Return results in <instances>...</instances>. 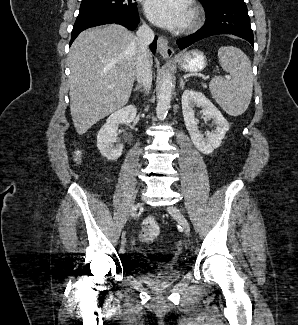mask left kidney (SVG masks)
<instances>
[{"mask_svg":"<svg viewBox=\"0 0 298 325\" xmlns=\"http://www.w3.org/2000/svg\"><path fill=\"white\" fill-rule=\"evenodd\" d=\"M181 104L185 126L193 144L203 154H211L215 148L220 146L222 138H224L227 130H229L230 124L228 120L224 118L219 108L203 92H199V90H192V88L184 90L181 96ZM194 106H201L204 118L206 120H211L212 118L214 124H216L212 132H205L206 138H204V134H201L197 126Z\"/></svg>","mask_w":298,"mask_h":325,"instance_id":"1","label":"left kidney"}]
</instances>
